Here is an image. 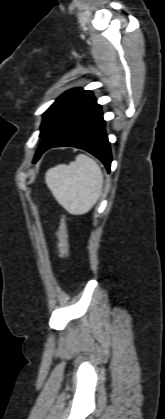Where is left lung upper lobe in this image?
I'll use <instances>...</instances> for the list:
<instances>
[{
	"instance_id": "obj_1",
	"label": "left lung upper lobe",
	"mask_w": 165,
	"mask_h": 419,
	"mask_svg": "<svg viewBox=\"0 0 165 419\" xmlns=\"http://www.w3.org/2000/svg\"><path fill=\"white\" fill-rule=\"evenodd\" d=\"M93 97L92 92L75 88L65 92L45 111L39 137H44L70 110Z\"/></svg>"
}]
</instances>
